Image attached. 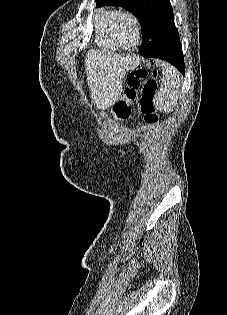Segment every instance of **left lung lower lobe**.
Instances as JSON below:
<instances>
[{"label":"left lung lower lobe","mask_w":227,"mask_h":315,"mask_svg":"<svg viewBox=\"0 0 227 315\" xmlns=\"http://www.w3.org/2000/svg\"><path fill=\"white\" fill-rule=\"evenodd\" d=\"M139 53L142 56L166 60L172 63L179 71H181V73L184 74L185 67L181 47L168 51L158 50L155 48L154 42L152 40L144 39L142 40V45L139 49Z\"/></svg>","instance_id":"obj_1"}]
</instances>
